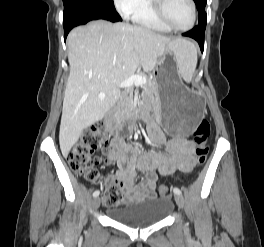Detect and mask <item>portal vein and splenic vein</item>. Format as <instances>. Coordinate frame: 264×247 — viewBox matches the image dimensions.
I'll return each instance as SVG.
<instances>
[{
    "label": "portal vein and splenic vein",
    "instance_id": "18ae733b",
    "mask_svg": "<svg viewBox=\"0 0 264 247\" xmlns=\"http://www.w3.org/2000/svg\"><path fill=\"white\" fill-rule=\"evenodd\" d=\"M146 82H147V79L145 77L140 76V75H133V76L127 78L126 80H124L123 82H121L119 87L120 88H127V87H130L132 85L140 86V85L146 84ZM98 97H99V99H104L105 94L100 93L98 95Z\"/></svg>",
    "mask_w": 264,
    "mask_h": 247
}]
</instances>
